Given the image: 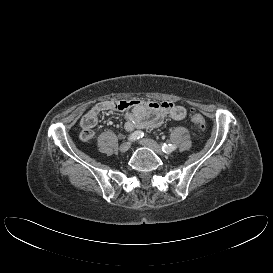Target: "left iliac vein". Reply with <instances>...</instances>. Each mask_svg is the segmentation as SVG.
<instances>
[{
    "label": "left iliac vein",
    "mask_w": 273,
    "mask_h": 273,
    "mask_svg": "<svg viewBox=\"0 0 273 273\" xmlns=\"http://www.w3.org/2000/svg\"><path fill=\"white\" fill-rule=\"evenodd\" d=\"M140 144L152 149L155 153H157L158 155H164L162 148L153 140L151 139H142L140 141Z\"/></svg>",
    "instance_id": "4c4485c4"
}]
</instances>
